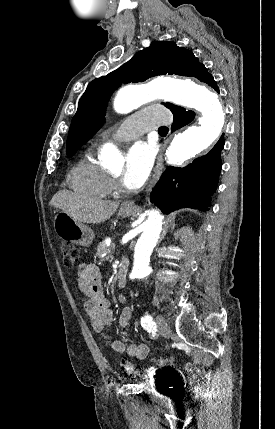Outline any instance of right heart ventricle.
<instances>
[{
  "label": "right heart ventricle",
  "mask_w": 275,
  "mask_h": 429,
  "mask_svg": "<svg viewBox=\"0 0 275 429\" xmlns=\"http://www.w3.org/2000/svg\"><path fill=\"white\" fill-rule=\"evenodd\" d=\"M69 185L74 191L94 198H106L113 190L110 175L95 159L92 151L71 170Z\"/></svg>",
  "instance_id": "e07e8e85"
}]
</instances>
